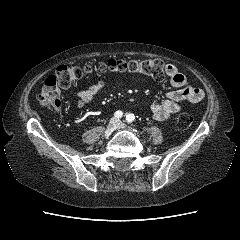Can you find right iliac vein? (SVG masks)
I'll use <instances>...</instances> for the list:
<instances>
[{"instance_id": "right-iliac-vein-1", "label": "right iliac vein", "mask_w": 240, "mask_h": 240, "mask_svg": "<svg viewBox=\"0 0 240 240\" xmlns=\"http://www.w3.org/2000/svg\"><path fill=\"white\" fill-rule=\"evenodd\" d=\"M117 126H118V120L116 118H112L105 129L104 137L108 138L117 128Z\"/></svg>"}]
</instances>
